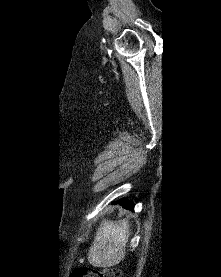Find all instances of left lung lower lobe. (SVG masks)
<instances>
[{
  "label": "left lung lower lobe",
  "instance_id": "0a47b994",
  "mask_svg": "<svg viewBox=\"0 0 221 277\" xmlns=\"http://www.w3.org/2000/svg\"><path fill=\"white\" fill-rule=\"evenodd\" d=\"M116 203H120L122 206H124L126 209H133L134 208V204L128 202L125 199H121L119 201H117Z\"/></svg>",
  "mask_w": 221,
  "mask_h": 277
}]
</instances>
